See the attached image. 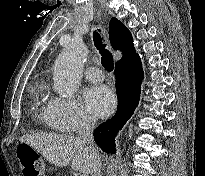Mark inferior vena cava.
I'll use <instances>...</instances> for the list:
<instances>
[{
    "mask_svg": "<svg viewBox=\"0 0 205 176\" xmlns=\"http://www.w3.org/2000/svg\"><path fill=\"white\" fill-rule=\"evenodd\" d=\"M94 127L95 120L90 117L84 116L80 123L77 140L82 144H86L87 148L95 156L91 176H102L101 161L93 139Z\"/></svg>",
    "mask_w": 205,
    "mask_h": 176,
    "instance_id": "602c4592",
    "label": "inferior vena cava"
}]
</instances>
